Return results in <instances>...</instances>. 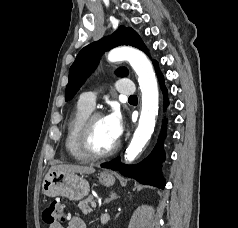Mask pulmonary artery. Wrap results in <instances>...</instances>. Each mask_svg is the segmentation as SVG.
Returning <instances> with one entry per match:
<instances>
[{
    "label": "pulmonary artery",
    "instance_id": "pulmonary-artery-1",
    "mask_svg": "<svg viewBox=\"0 0 238 228\" xmlns=\"http://www.w3.org/2000/svg\"><path fill=\"white\" fill-rule=\"evenodd\" d=\"M116 89L122 95H133L135 92V86L130 79L123 78L116 82ZM96 94L93 91L86 92L81 95L80 101L87 107L93 109L95 106Z\"/></svg>",
    "mask_w": 238,
    "mask_h": 228
}]
</instances>
